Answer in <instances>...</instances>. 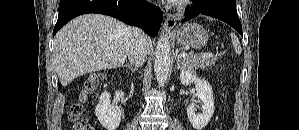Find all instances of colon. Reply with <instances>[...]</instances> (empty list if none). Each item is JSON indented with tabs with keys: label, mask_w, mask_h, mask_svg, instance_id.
Listing matches in <instances>:
<instances>
[{
	"label": "colon",
	"mask_w": 299,
	"mask_h": 130,
	"mask_svg": "<svg viewBox=\"0 0 299 130\" xmlns=\"http://www.w3.org/2000/svg\"><path fill=\"white\" fill-rule=\"evenodd\" d=\"M105 79L104 74H96L87 79L84 85V91L77 103H75L69 112V119L73 122V130H95V128L80 120V116L83 111V102L85 101L87 95L98 88V86Z\"/></svg>",
	"instance_id": "5ec220e1"
}]
</instances>
